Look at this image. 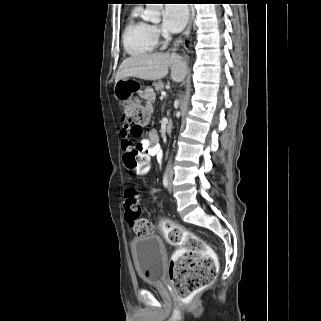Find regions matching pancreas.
Returning <instances> with one entry per match:
<instances>
[{
    "label": "pancreas",
    "mask_w": 321,
    "mask_h": 321,
    "mask_svg": "<svg viewBox=\"0 0 321 321\" xmlns=\"http://www.w3.org/2000/svg\"><path fill=\"white\" fill-rule=\"evenodd\" d=\"M153 86L157 92H161L164 89V83L162 81L155 82Z\"/></svg>",
    "instance_id": "obj_1"
}]
</instances>
